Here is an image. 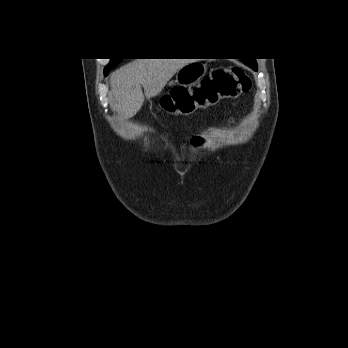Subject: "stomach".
I'll return each instance as SVG.
<instances>
[{
  "instance_id": "0dacf381",
  "label": "stomach",
  "mask_w": 348,
  "mask_h": 348,
  "mask_svg": "<svg viewBox=\"0 0 348 348\" xmlns=\"http://www.w3.org/2000/svg\"><path fill=\"white\" fill-rule=\"evenodd\" d=\"M205 73L206 67L200 62L186 64L177 71L175 86L183 90H188V88L195 85ZM184 93L186 99L180 111V113L183 114H191L198 108H206L215 102V100L205 97L202 91H184Z\"/></svg>"
}]
</instances>
